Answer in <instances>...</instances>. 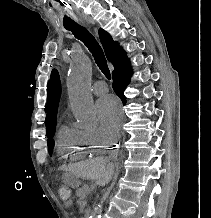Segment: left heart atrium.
Masks as SVG:
<instances>
[{
  "instance_id": "39dd6f15",
  "label": "left heart atrium",
  "mask_w": 211,
  "mask_h": 218,
  "mask_svg": "<svg viewBox=\"0 0 211 218\" xmlns=\"http://www.w3.org/2000/svg\"><path fill=\"white\" fill-rule=\"evenodd\" d=\"M96 110L102 128L111 135H115L122 119V109L116 98L106 96L100 99L96 104Z\"/></svg>"
}]
</instances>
